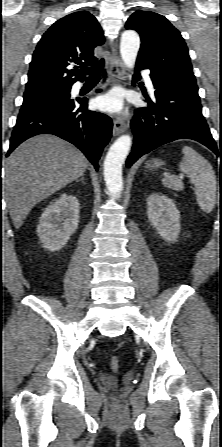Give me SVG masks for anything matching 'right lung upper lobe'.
Wrapping results in <instances>:
<instances>
[{
	"instance_id": "1",
	"label": "right lung upper lobe",
	"mask_w": 222,
	"mask_h": 447,
	"mask_svg": "<svg viewBox=\"0 0 222 447\" xmlns=\"http://www.w3.org/2000/svg\"><path fill=\"white\" fill-rule=\"evenodd\" d=\"M104 43L96 18L86 11L71 13L56 21L42 36L33 53L24 95L71 89L84 75L71 64L93 65V49Z\"/></svg>"
}]
</instances>
